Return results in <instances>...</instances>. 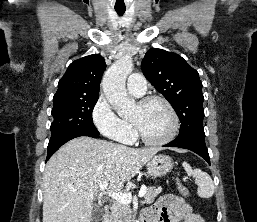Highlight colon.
<instances>
[{"mask_svg": "<svg viewBox=\"0 0 257 222\" xmlns=\"http://www.w3.org/2000/svg\"><path fill=\"white\" fill-rule=\"evenodd\" d=\"M177 187H178V190L179 192L184 195V196H187L188 195V189L187 187L181 182L178 180L177 182Z\"/></svg>", "mask_w": 257, "mask_h": 222, "instance_id": "obj_1", "label": "colon"}]
</instances>
